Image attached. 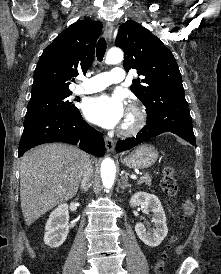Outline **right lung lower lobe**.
Listing matches in <instances>:
<instances>
[{"label":"right lung lower lobe","instance_id":"right-lung-lower-lobe-1","mask_svg":"<svg viewBox=\"0 0 221 274\" xmlns=\"http://www.w3.org/2000/svg\"><path fill=\"white\" fill-rule=\"evenodd\" d=\"M50 142L78 144L82 150L95 156L102 157L105 153L102 133L83 121L81 114L55 113L25 120L18 157L37 145Z\"/></svg>","mask_w":221,"mask_h":274}]
</instances>
